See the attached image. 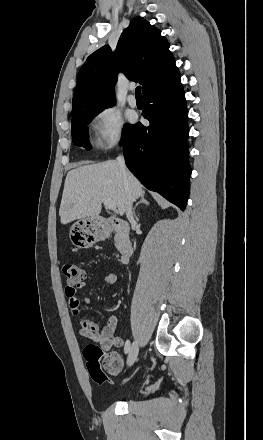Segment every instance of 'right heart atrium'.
<instances>
[{"label": "right heart atrium", "instance_id": "d8ad5b80", "mask_svg": "<svg viewBox=\"0 0 263 440\" xmlns=\"http://www.w3.org/2000/svg\"><path fill=\"white\" fill-rule=\"evenodd\" d=\"M95 146L108 151L124 139L123 120L121 115L112 107H105L98 111L92 121Z\"/></svg>", "mask_w": 263, "mask_h": 440}]
</instances>
